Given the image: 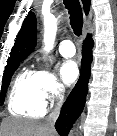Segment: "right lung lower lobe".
Masks as SVG:
<instances>
[{"label": "right lung lower lobe", "mask_w": 117, "mask_h": 136, "mask_svg": "<svg viewBox=\"0 0 117 136\" xmlns=\"http://www.w3.org/2000/svg\"><path fill=\"white\" fill-rule=\"evenodd\" d=\"M93 46L94 42L91 34H88L83 43L80 78L63 104L60 115L55 124L56 130L61 136H67L73 123L83 111L88 90V81L90 78Z\"/></svg>", "instance_id": "obj_1"}]
</instances>
